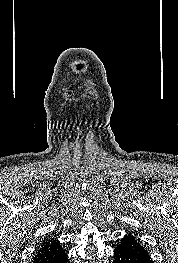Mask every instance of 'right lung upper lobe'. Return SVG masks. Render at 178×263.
<instances>
[{
    "instance_id": "obj_1",
    "label": "right lung upper lobe",
    "mask_w": 178,
    "mask_h": 263,
    "mask_svg": "<svg viewBox=\"0 0 178 263\" xmlns=\"http://www.w3.org/2000/svg\"><path fill=\"white\" fill-rule=\"evenodd\" d=\"M63 248L56 239L46 240L42 242L40 248L35 252L32 263H43V261L51 258Z\"/></svg>"
}]
</instances>
